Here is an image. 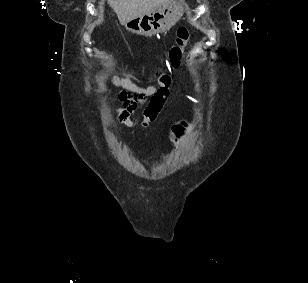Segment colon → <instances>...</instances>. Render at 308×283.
Returning a JSON list of instances; mask_svg holds the SVG:
<instances>
[{"instance_id":"5ec220e1","label":"colon","mask_w":308,"mask_h":283,"mask_svg":"<svg viewBox=\"0 0 308 283\" xmlns=\"http://www.w3.org/2000/svg\"><path fill=\"white\" fill-rule=\"evenodd\" d=\"M190 39V32L187 28L181 27L177 30L175 44L168 54V65L171 67H177L180 65L183 53ZM159 82L170 85L171 78L166 73H163L159 77ZM190 125L187 122H180L172 127V138L175 143L180 142L183 137L189 132Z\"/></svg>"}]
</instances>
